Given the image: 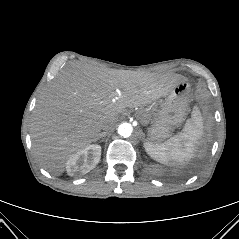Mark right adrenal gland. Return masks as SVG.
I'll return each mask as SVG.
<instances>
[{
  "instance_id": "right-adrenal-gland-1",
  "label": "right adrenal gland",
  "mask_w": 239,
  "mask_h": 239,
  "mask_svg": "<svg viewBox=\"0 0 239 239\" xmlns=\"http://www.w3.org/2000/svg\"><path fill=\"white\" fill-rule=\"evenodd\" d=\"M105 137H106V132H102L99 134V137L97 138V140L102 139V141H103Z\"/></svg>"
}]
</instances>
